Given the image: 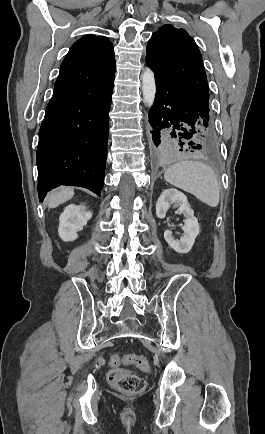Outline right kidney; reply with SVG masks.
Segmentation results:
<instances>
[{"instance_id":"1","label":"right kidney","mask_w":265,"mask_h":434,"mask_svg":"<svg viewBox=\"0 0 265 434\" xmlns=\"http://www.w3.org/2000/svg\"><path fill=\"white\" fill-rule=\"evenodd\" d=\"M92 212H88L85 206H66L63 214L59 218L58 234L63 242H74L77 240V232L83 230L88 220H91Z\"/></svg>"}]
</instances>
